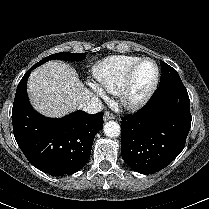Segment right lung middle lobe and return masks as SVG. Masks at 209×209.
Wrapping results in <instances>:
<instances>
[{"instance_id": "obj_1", "label": "right lung middle lobe", "mask_w": 209, "mask_h": 209, "mask_svg": "<svg viewBox=\"0 0 209 209\" xmlns=\"http://www.w3.org/2000/svg\"><path fill=\"white\" fill-rule=\"evenodd\" d=\"M84 56H85L84 53H66V52L56 53V54H52L51 56L45 57L44 59L39 61L37 64H35L32 68L34 69V68L40 66L41 64H43L49 60H53V59L77 61V60L84 58Z\"/></svg>"}]
</instances>
